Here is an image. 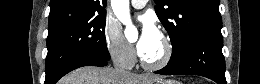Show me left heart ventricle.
<instances>
[{
    "mask_svg": "<svg viewBox=\"0 0 260 84\" xmlns=\"http://www.w3.org/2000/svg\"><path fill=\"white\" fill-rule=\"evenodd\" d=\"M163 43L161 38L159 37L158 40L154 43L149 51L142 55V57L149 62H155L159 60L163 55Z\"/></svg>",
    "mask_w": 260,
    "mask_h": 84,
    "instance_id": "b2bd125f",
    "label": "left heart ventricle"
}]
</instances>
